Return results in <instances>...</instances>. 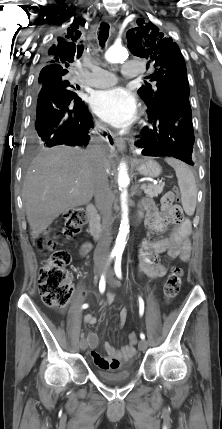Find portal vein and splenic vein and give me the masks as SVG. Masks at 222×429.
Returning a JSON list of instances; mask_svg holds the SVG:
<instances>
[{
  "mask_svg": "<svg viewBox=\"0 0 222 429\" xmlns=\"http://www.w3.org/2000/svg\"><path fill=\"white\" fill-rule=\"evenodd\" d=\"M145 188H146V184H142L141 189H145Z\"/></svg>",
  "mask_w": 222,
  "mask_h": 429,
  "instance_id": "18ae733b",
  "label": "portal vein and splenic vein"
}]
</instances>
